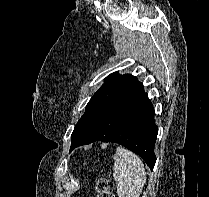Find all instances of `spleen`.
<instances>
[{
	"instance_id": "3e777b00",
	"label": "spleen",
	"mask_w": 209,
	"mask_h": 197,
	"mask_svg": "<svg viewBox=\"0 0 209 197\" xmlns=\"http://www.w3.org/2000/svg\"><path fill=\"white\" fill-rule=\"evenodd\" d=\"M113 178L118 197H139L146 183V172L141 159L133 152L118 147L113 156Z\"/></svg>"
}]
</instances>
